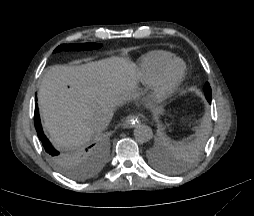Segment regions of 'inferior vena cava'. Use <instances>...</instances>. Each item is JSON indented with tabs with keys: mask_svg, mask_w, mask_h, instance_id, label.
Wrapping results in <instances>:
<instances>
[{
	"mask_svg": "<svg viewBox=\"0 0 254 216\" xmlns=\"http://www.w3.org/2000/svg\"><path fill=\"white\" fill-rule=\"evenodd\" d=\"M114 112L111 108L98 110L90 119V125L94 131L105 129L113 118Z\"/></svg>",
	"mask_w": 254,
	"mask_h": 216,
	"instance_id": "inferior-vena-cava-1",
	"label": "inferior vena cava"
}]
</instances>
